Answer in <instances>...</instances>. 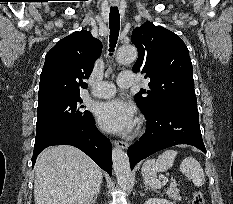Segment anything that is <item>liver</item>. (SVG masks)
Instances as JSON below:
<instances>
[{
    "instance_id": "1",
    "label": "liver",
    "mask_w": 233,
    "mask_h": 204,
    "mask_svg": "<svg viewBox=\"0 0 233 204\" xmlns=\"http://www.w3.org/2000/svg\"><path fill=\"white\" fill-rule=\"evenodd\" d=\"M102 179V170L79 149L48 147L35 164V204H90Z\"/></svg>"
}]
</instances>
